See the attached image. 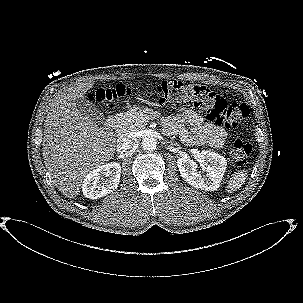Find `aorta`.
Masks as SVG:
<instances>
[{"label":"aorta","instance_id":"obj_1","mask_svg":"<svg viewBox=\"0 0 303 303\" xmlns=\"http://www.w3.org/2000/svg\"><path fill=\"white\" fill-rule=\"evenodd\" d=\"M156 140L152 137H145L142 140V148L147 151H153L156 149Z\"/></svg>","mask_w":303,"mask_h":303}]
</instances>
